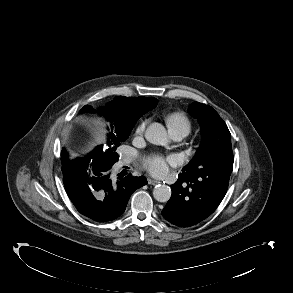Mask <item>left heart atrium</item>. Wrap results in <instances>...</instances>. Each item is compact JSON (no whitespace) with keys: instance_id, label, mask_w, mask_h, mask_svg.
Wrapping results in <instances>:
<instances>
[{"instance_id":"1","label":"left heart atrium","mask_w":293,"mask_h":293,"mask_svg":"<svg viewBox=\"0 0 293 293\" xmlns=\"http://www.w3.org/2000/svg\"><path fill=\"white\" fill-rule=\"evenodd\" d=\"M170 162V158L155 155L145 159L144 167L155 176H164L168 171V165Z\"/></svg>"}]
</instances>
